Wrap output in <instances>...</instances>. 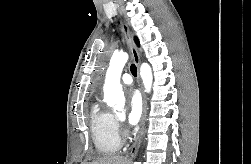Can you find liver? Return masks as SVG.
Returning a JSON list of instances; mask_svg holds the SVG:
<instances>
[{
	"label": "liver",
	"instance_id": "obj_1",
	"mask_svg": "<svg viewBox=\"0 0 251 164\" xmlns=\"http://www.w3.org/2000/svg\"><path fill=\"white\" fill-rule=\"evenodd\" d=\"M87 164H129V161L122 156H108L98 158L96 161Z\"/></svg>",
	"mask_w": 251,
	"mask_h": 164
}]
</instances>
